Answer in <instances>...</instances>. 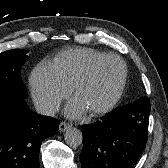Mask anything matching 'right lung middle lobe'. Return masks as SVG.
Returning a JSON list of instances; mask_svg holds the SVG:
<instances>
[{"label":"right lung middle lobe","instance_id":"obj_1","mask_svg":"<svg viewBox=\"0 0 168 168\" xmlns=\"http://www.w3.org/2000/svg\"><path fill=\"white\" fill-rule=\"evenodd\" d=\"M27 51L12 49L0 53V94L27 98L21 79V68L27 61Z\"/></svg>","mask_w":168,"mask_h":168}]
</instances>
